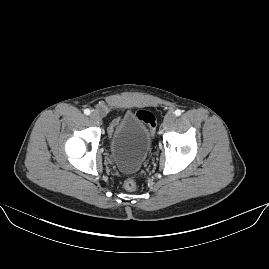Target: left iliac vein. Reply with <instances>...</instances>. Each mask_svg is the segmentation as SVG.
I'll list each match as a JSON object with an SVG mask.
<instances>
[{"label": "left iliac vein", "instance_id": "4c4485c4", "mask_svg": "<svg viewBox=\"0 0 269 269\" xmlns=\"http://www.w3.org/2000/svg\"><path fill=\"white\" fill-rule=\"evenodd\" d=\"M175 122V115L171 112L166 114V117L162 123L164 129L171 127Z\"/></svg>", "mask_w": 269, "mask_h": 269}]
</instances>
